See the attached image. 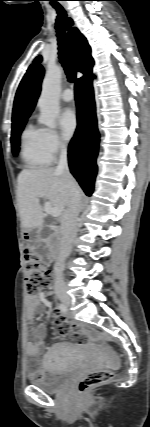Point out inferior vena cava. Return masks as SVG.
<instances>
[{
  "mask_svg": "<svg viewBox=\"0 0 150 427\" xmlns=\"http://www.w3.org/2000/svg\"><path fill=\"white\" fill-rule=\"evenodd\" d=\"M56 171L61 173L67 190L66 209L61 220V243L57 262L54 265L55 284H63L64 262L71 252V245L77 234V221L81 211V197L75 180L68 167L67 148L60 145V159Z\"/></svg>",
  "mask_w": 150,
  "mask_h": 427,
  "instance_id": "1",
  "label": "inferior vena cava"
}]
</instances>
